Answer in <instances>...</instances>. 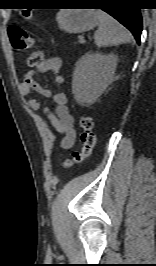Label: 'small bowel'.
<instances>
[{"mask_svg": "<svg viewBox=\"0 0 156 266\" xmlns=\"http://www.w3.org/2000/svg\"><path fill=\"white\" fill-rule=\"evenodd\" d=\"M61 67L62 61L60 58L51 57L43 61L39 66L26 70L20 85V91L23 95L36 93L43 98H52L54 109L44 107L43 113L50 119L56 133L60 137L61 146L64 149H70L75 143L76 132L74 129V119L68 106V98L61 92L52 94L49 89L42 87L35 79L37 72H52L55 74L54 81L56 86L61 87L65 82L64 78L59 75ZM30 106L33 110L39 111L41 109V102L37 98H32Z\"/></svg>", "mask_w": 156, "mask_h": 266, "instance_id": "1", "label": "small bowel"}]
</instances>
